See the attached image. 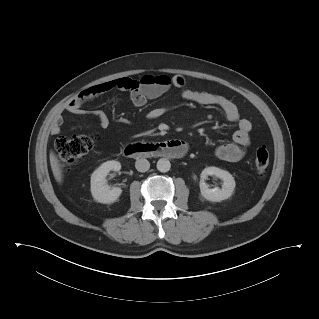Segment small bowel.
<instances>
[{
	"instance_id": "small-bowel-1",
	"label": "small bowel",
	"mask_w": 319,
	"mask_h": 319,
	"mask_svg": "<svg viewBox=\"0 0 319 319\" xmlns=\"http://www.w3.org/2000/svg\"><path fill=\"white\" fill-rule=\"evenodd\" d=\"M128 78H122L118 80H112L100 85H95L83 90L78 96L72 98L65 105V112L74 115H93L101 128H107L110 124L108 115L101 111L96 110L87 112L83 109V105L98 97L99 95L107 92L112 88H120ZM175 88L179 89L184 99L195 102L204 106H214L218 108L225 116L226 120L230 123H235L237 128L233 134L232 143L222 144L215 150L217 158L224 161H238L242 159L246 153V149L250 144V132L252 124L248 119L241 118L236 105L228 98L204 91H197L186 87L185 79L181 75H175L171 84ZM169 88V87H168ZM167 88V89H168ZM167 89L156 94H144L142 92L130 93V99L136 106H143L149 99L156 98L162 95ZM164 109L161 107L152 108L148 112V118L151 120L157 119L162 116ZM51 132L53 135H58L61 132V118L59 117L56 123L52 126Z\"/></svg>"
}]
</instances>
